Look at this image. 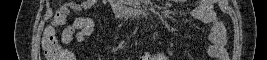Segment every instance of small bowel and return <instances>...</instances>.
Wrapping results in <instances>:
<instances>
[{
    "instance_id": "obj_1",
    "label": "small bowel",
    "mask_w": 267,
    "mask_h": 60,
    "mask_svg": "<svg viewBox=\"0 0 267 60\" xmlns=\"http://www.w3.org/2000/svg\"><path fill=\"white\" fill-rule=\"evenodd\" d=\"M97 1L88 0L81 4L70 2L62 8V13H67L70 10L80 12L81 10L90 9ZM217 1L215 0H201L198 6L191 12V17L195 20L202 21L210 25L208 38L210 44L206 48V54L217 60H227L228 54L225 49L226 44V28L215 11L214 6ZM58 23L57 21L55 24ZM77 23H80L77 26ZM94 19L91 17H78L75 21L67 26L62 33V40L64 43L71 42L72 38L75 37L76 41L80 44L86 43L88 38L94 29ZM48 31H53L49 29ZM69 58V57H68ZM140 60H168L165 53L151 54L145 52L141 55Z\"/></svg>"
}]
</instances>
